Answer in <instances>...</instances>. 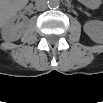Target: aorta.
Returning a JSON list of instances; mask_svg holds the SVG:
<instances>
[{
    "mask_svg": "<svg viewBox=\"0 0 103 103\" xmlns=\"http://www.w3.org/2000/svg\"><path fill=\"white\" fill-rule=\"evenodd\" d=\"M47 3H48V7L52 9H56L60 6L59 0H49Z\"/></svg>",
    "mask_w": 103,
    "mask_h": 103,
    "instance_id": "1",
    "label": "aorta"
}]
</instances>
